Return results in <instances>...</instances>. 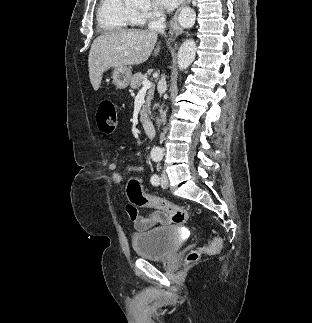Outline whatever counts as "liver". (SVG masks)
<instances>
[{"instance_id":"1","label":"liver","mask_w":312,"mask_h":323,"mask_svg":"<svg viewBox=\"0 0 312 323\" xmlns=\"http://www.w3.org/2000/svg\"><path fill=\"white\" fill-rule=\"evenodd\" d=\"M155 30H119L98 36L88 58L89 78L93 90H99L103 72L119 66H138L151 56L157 42ZM160 46L154 56H158Z\"/></svg>"}]
</instances>
